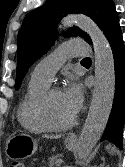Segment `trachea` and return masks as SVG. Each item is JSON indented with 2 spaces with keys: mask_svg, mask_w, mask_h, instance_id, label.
Returning <instances> with one entry per match:
<instances>
[{
  "mask_svg": "<svg viewBox=\"0 0 125 167\" xmlns=\"http://www.w3.org/2000/svg\"><path fill=\"white\" fill-rule=\"evenodd\" d=\"M82 62H91V59L90 58H84V59H82Z\"/></svg>",
  "mask_w": 125,
  "mask_h": 167,
  "instance_id": "1",
  "label": "trachea"
}]
</instances>
